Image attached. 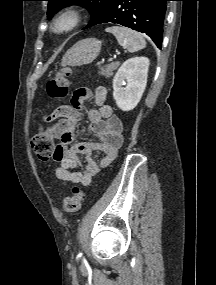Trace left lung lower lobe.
<instances>
[{
    "label": "left lung lower lobe",
    "instance_id": "1",
    "mask_svg": "<svg viewBox=\"0 0 216 285\" xmlns=\"http://www.w3.org/2000/svg\"><path fill=\"white\" fill-rule=\"evenodd\" d=\"M170 0H113L93 25L117 23L148 35L161 48L166 2Z\"/></svg>",
    "mask_w": 216,
    "mask_h": 285
}]
</instances>
